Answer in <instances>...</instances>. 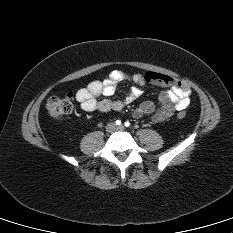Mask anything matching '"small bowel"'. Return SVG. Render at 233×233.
Returning <instances> with one entry per match:
<instances>
[{
    "instance_id": "small-bowel-1",
    "label": "small bowel",
    "mask_w": 233,
    "mask_h": 233,
    "mask_svg": "<svg viewBox=\"0 0 233 233\" xmlns=\"http://www.w3.org/2000/svg\"><path fill=\"white\" fill-rule=\"evenodd\" d=\"M124 80H130L137 86L132 87L123 99L115 101L98 99L100 96L108 97L113 95L117 85ZM146 83L167 87V89L159 95L158 105L151 101L141 103L133 111L135 118L148 116L153 123H161L176 112L183 111L189 106L190 85L183 80L155 72L127 75L122 71L114 70L104 80H94L79 89L75 98L81 109L86 112H119L126 104L134 102L141 96L142 90L138 86H143Z\"/></svg>"
}]
</instances>
